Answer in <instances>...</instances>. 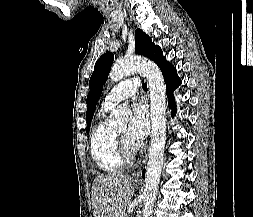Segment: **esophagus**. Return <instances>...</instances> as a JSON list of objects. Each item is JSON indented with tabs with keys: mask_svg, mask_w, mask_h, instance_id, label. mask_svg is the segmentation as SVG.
I'll use <instances>...</instances> for the list:
<instances>
[{
	"mask_svg": "<svg viewBox=\"0 0 253 217\" xmlns=\"http://www.w3.org/2000/svg\"><path fill=\"white\" fill-rule=\"evenodd\" d=\"M146 161H147V154H146L145 159L143 160L142 164L138 168V170L134 173L135 179L139 180L141 178V174H142V171H143L144 166L146 164Z\"/></svg>",
	"mask_w": 253,
	"mask_h": 217,
	"instance_id": "1",
	"label": "esophagus"
}]
</instances>
